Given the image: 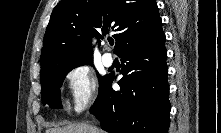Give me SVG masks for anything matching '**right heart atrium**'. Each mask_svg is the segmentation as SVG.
<instances>
[{"instance_id": "obj_1", "label": "right heart atrium", "mask_w": 221, "mask_h": 133, "mask_svg": "<svg viewBox=\"0 0 221 133\" xmlns=\"http://www.w3.org/2000/svg\"><path fill=\"white\" fill-rule=\"evenodd\" d=\"M70 107L80 113L92 106L98 96L96 75L86 64H78L65 75Z\"/></svg>"}]
</instances>
